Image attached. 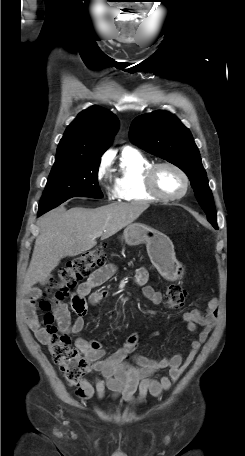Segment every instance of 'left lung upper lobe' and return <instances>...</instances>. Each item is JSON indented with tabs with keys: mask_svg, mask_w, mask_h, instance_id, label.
Returning <instances> with one entry per match:
<instances>
[{
	"mask_svg": "<svg viewBox=\"0 0 245 456\" xmlns=\"http://www.w3.org/2000/svg\"><path fill=\"white\" fill-rule=\"evenodd\" d=\"M129 137L133 144L185 172L208 221L217 229L213 195L199 150L190 131L180 120L163 111L142 115L131 123Z\"/></svg>",
	"mask_w": 245,
	"mask_h": 456,
	"instance_id": "5c2ea615",
	"label": "left lung upper lobe"
}]
</instances>
